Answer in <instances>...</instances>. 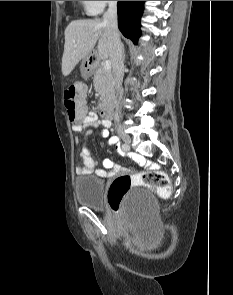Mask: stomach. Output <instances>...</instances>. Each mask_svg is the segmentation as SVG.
<instances>
[{"mask_svg": "<svg viewBox=\"0 0 233 295\" xmlns=\"http://www.w3.org/2000/svg\"><path fill=\"white\" fill-rule=\"evenodd\" d=\"M93 66L88 63V58H85L81 65V74L84 78L90 76Z\"/></svg>", "mask_w": 233, "mask_h": 295, "instance_id": "0dacf381", "label": "stomach"}]
</instances>
